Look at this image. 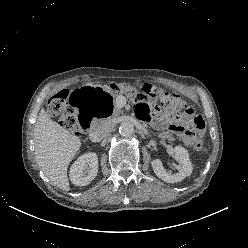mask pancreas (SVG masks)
Listing matches in <instances>:
<instances>
[{
	"instance_id": "cf45deb5",
	"label": "pancreas",
	"mask_w": 248,
	"mask_h": 248,
	"mask_svg": "<svg viewBox=\"0 0 248 248\" xmlns=\"http://www.w3.org/2000/svg\"><path fill=\"white\" fill-rule=\"evenodd\" d=\"M121 112L120 108L116 107L115 108V112H114V116H117L119 113ZM157 136L162 138V139H167L169 141H173L174 138L172 137V135L169 132H161V133H157Z\"/></svg>"
}]
</instances>
